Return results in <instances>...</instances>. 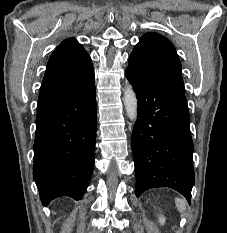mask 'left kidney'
Instances as JSON below:
<instances>
[{
	"mask_svg": "<svg viewBox=\"0 0 227 233\" xmlns=\"http://www.w3.org/2000/svg\"><path fill=\"white\" fill-rule=\"evenodd\" d=\"M159 222H160L161 224H164L165 218L161 216V217L159 218Z\"/></svg>",
	"mask_w": 227,
	"mask_h": 233,
	"instance_id": "obj_1",
	"label": "left kidney"
}]
</instances>
